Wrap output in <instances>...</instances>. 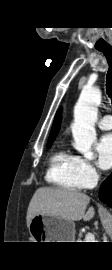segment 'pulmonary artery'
<instances>
[{"mask_svg": "<svg viewBox=\"0 0 112 270\" xmlns=\"http://www.w3.org/2000/svg\"><path fill=\"white\" fill-rule=\"evenodd\" d=\"M98 127L102 130H110L112 129V116L106 115L99 122Z\"/></svg>", "mask_w": 112, "mask_h": 270, "instance_id": "pulmonary-artery-1", "label": "pulmonary artery"}]
</instances>
